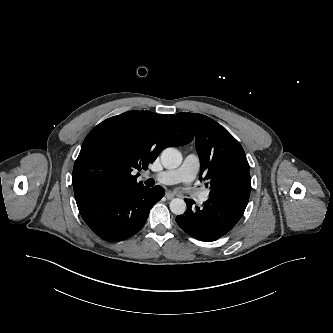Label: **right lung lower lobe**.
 Listing matches in <instances>:
<instances>
[{
    "mask_svg": "<svg viewBox=\"0 0 333 333\" xmlns=\"http://www.w3.org/2000/svg\"><path fill=\"white\" fill-rule=\"evenodd\" d=\"M160 186L133 192L93 191L76 197L79 212L99 237L110 242L125 240L145 224L152 206L164 196Z\"/></svg>",
    "mask_w": 333,
    "mask_h": 333,
    "instance_id": "98d812e1",
    "label": "right lung lower lobe"
}]
</instances>
